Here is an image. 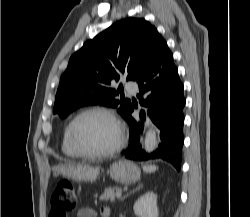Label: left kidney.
Wrapping results in <instances>:
<instances>
[{
  "label": "left kidney",
  "mask_w": 250,
  "mask_h": 217,
  "mask_svg": "<svg viewBox=\"0 0 250 217\" xmlns=\"http://www.w3.org/2000/svg\"><path fill=\"white\" fill-rule=\"evenodd\" d=\"M133 210L138 217H158L157 195L146 192L135 202Z\"/></svg>",
  "instance_id": "5707ae66"
}]
</instances>
